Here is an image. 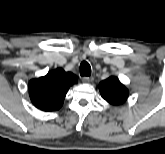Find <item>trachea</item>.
<instances>
[{
  "label": "trachea",
  "instance_id": "trachea-1",
  "mask_svg": "<svg viewBox=\"0 0 165 154\" xmlns=\"http://www.w3.org/2000/svg\"><path fill=\"white\" fill-rule=\"evenodd\" d=\"M80 75L81 76H90L91 75V67L88 62H86V61L81 62Z\"/></svg>",
  "mask_w": 165,
  "mask_h": 154
}]
</instances>
